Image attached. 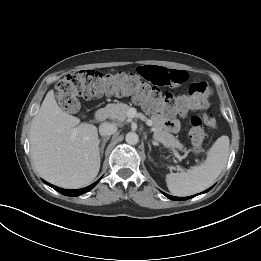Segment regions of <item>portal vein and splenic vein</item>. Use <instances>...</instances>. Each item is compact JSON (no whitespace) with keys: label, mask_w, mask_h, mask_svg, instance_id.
I'll return each mask as SVG.
<instances>
[{"label":"portal vein and splenic vein","mask_w":261,"mask_h":261,"mask_svg":"<svg viewBox=\"0 0 261 261\" xmlns=\"http://www.w3.org/2000/svg\"><path fill=\"white\" fill-rule=\"evenodd\" d=\"M127 115L128 117L130 118H135V117H138L140 118L141 120H143L144 122H146V124L148 126H152V121L148 118H146L145 115H143L142 113H137L136 109L135 108H130L129 111L127 112ZM173 151V154L178 158L180 159L181 156L179 155V153L175 150V149H172Z\"/></svg>","instance_id":"obj_1"}]
</instances>
